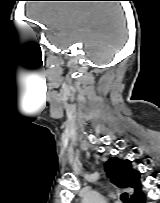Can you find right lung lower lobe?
Here are the masks:
<instances>
[{"mask_svg": "<svg viewBox=\"0 0 160 203\" xmlns=\"http://www.w3.org/2000/svg\"><path fill=\"white\" fill-rule=\"evenodd\" d=\"M138 203H145L144 195H143L142 198L138 201Z\"/></svg>", "mask_w": 160, "mask_h": 203, "instance_id": "right-lung-lower-lobe-1", "label": "right lung lower lobe"}]
</instances>
